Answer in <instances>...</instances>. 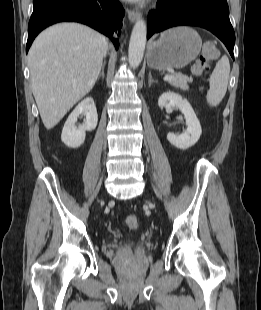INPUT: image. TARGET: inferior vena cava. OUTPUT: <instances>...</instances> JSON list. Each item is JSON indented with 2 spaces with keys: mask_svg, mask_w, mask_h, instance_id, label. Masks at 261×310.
<instances>
[{
  "mask_svg": "<svg viewBox=\"0 0 261 310\" xmlns=\"http://www.w3.org/2000/svg\"><path fill=\"white\" fill-rule=\"evenodd\" d=\"M106 50H107V42L105 43V53H106Z\"/></svg>",
  "mask_w": 261,
  "mask_h": 310,
  "instance_id": "inferior-vena-cava-1",
  "label": "inferior vena cava"
}]
</instances>
